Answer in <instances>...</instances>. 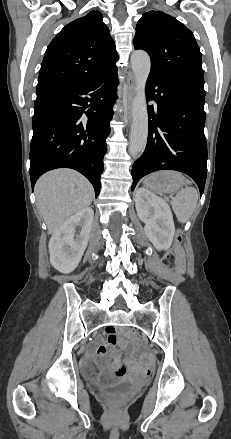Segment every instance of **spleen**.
I'll list each match as a JSON object with an SVG mask.
<instances>
[{
	"instance_id": "obj_1",
	"label": "spleen",
	"mask_w": 231,
	"mask_h": 439,
	"mask_svg": "<svg viewBox=\"0 0 231 439\" xmlns=\"http://www.w3.org/2000/svg\"><path fill=\"white\" fill-rule=\"evenodd\" d=\"M198 201V192L193 187H185L177 192L176 196L170 201V205L179 222H187L195 208Z\"/></svg>"
}]
</instances>
